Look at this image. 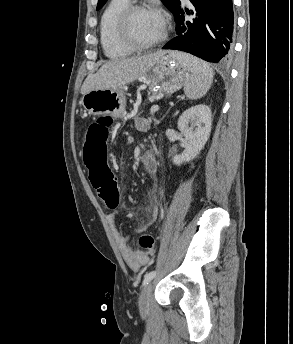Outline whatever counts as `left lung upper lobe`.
Instances as JSON below:
<instances>
[{
	"mask_svg": "<svg viewBox=\"0 0 293 344\" xmlns=\"http://www.w3.org/2000/svg\"><path fill=\"white\" fill-rule=\"evenodd\" d=\"M107 0H98L97 10L101 9ZM162 3L173 13L180 3L179 0H161Z\"/></svg>",
	"mask_w": 293,
	"mask_h": 344,
	"instance_id": "left-lung-upper-lobe-1",
	"label": "left lung upper lobe"
}]
</instances>
